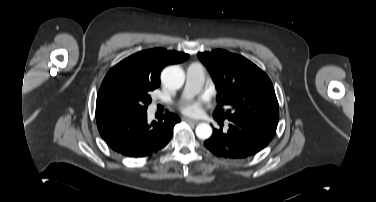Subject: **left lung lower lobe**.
<instances>
[{
  "instance_id": "left-lung-lower-lobe-1",
  "label": "left lung lower lobe",
  "mask_w": 376,
  "mask_h": 202,
  "mask_svg": "<svg viewBox=\"0 0 376 202\" xmlns=\"http://www.w3.org/2000/svg\"><path fill=\"white\" fill-rule=\"evenodd\" d=\"M221 122V119L215 118ZM229 129H215L213 135L204 142L205 147L216 156L241 159L253 156L273 139L276 128L250 120H228Z\"/></svg>"
}]
</instances>
